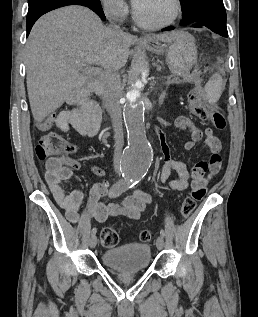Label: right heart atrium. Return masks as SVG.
I'll return each instance as SVG.
<instances>
[{
	"instance_id": "1",
	"label": "right heart atrium",
	"mask_w": 258,
	"mask_h": 317,
	"mask_svg": "<svg viewBox=\"0 0 258 317\" xmlns=\"http://www.w3.org/2000/svg\"><path fill=\"white\" fill-rule=\"evenodd\" d=\"M101 6L109 19L124 21L129 14V6L125 0H102Z\"/></svg>"
}]
</instances>
